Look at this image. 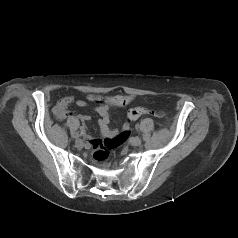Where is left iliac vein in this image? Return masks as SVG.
<instances>
[{"mask_svg":"<svg viewBox=\"0 0 238 238\" xmlns=\"http://www.w3.org/2000/svg\"><path fill=\"white\" fill-rule=\"evenodd\" d=\"M142 140L139 137H135L131 140V145L132 146H139L141 145Z\"/></svg>","mask_w":238,"mask_h":238,"instance_id":"left-iliac-vein-1","label":"left iliac vein"}]
</instances>
